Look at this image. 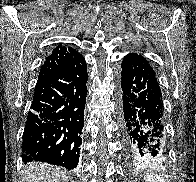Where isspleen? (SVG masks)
I'll use <instances>...</instances> for the list:
<instances>
[{
  "mask_svg": "<svg viewBox=\"0 0 196 182\" xmlns=\"http://www.w3.org/2000/svg\"><path fill=\"white\" fill-rule=\"evenodd\" d=\"M146 182H165V181L161 179L159 176L151 175L146 178Z\"/></svg>",
  "mask_w": 196,
  "mask_h": 182,
  "instance_id": "1",
  "label": "spleen"
}]
</instances>
